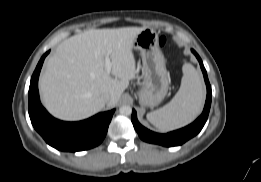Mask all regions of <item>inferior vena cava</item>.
Masks as SVG:
<instances>
[{"instance_id":"inferior-vena-cava-1","label":"inferior vena cava","mask_w":261,"mask_h":182,"mask_svg":"<svg viewBox=\"0 0 261 182\" xmlns=\"http://www.w3.org/2000/svg\"><path fill=\"white\" fill-rule=\"evenodd\" d=\"M104 100H105L106 102H108V101L110 100V96H109V95H106V96L104 97Z\"/></svg>"}]
</instances>
